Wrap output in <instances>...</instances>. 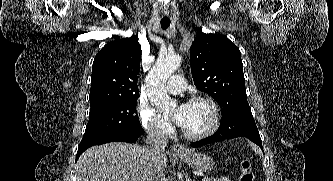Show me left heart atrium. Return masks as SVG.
I'll return each instance as SVG.
<instances>
[{
    "mask_svg": "<svg viewBox=\"0 0 333 181\" xmlns=\"http://www.w3.org/2000/svg\"><path fill=\"white\" fill-rule=\"evenodd\" d=\"M187 117V104H181L178 109L175 111L173 116L169 118L170 121L174 122L178 126L183 127L186 123Z\"/></svg>",
    "mask_w": 333,
    "mask_h": 181,
    "instance_id": "39dd6f15",
    "label": "left heart atrium"
}]
</instances>
